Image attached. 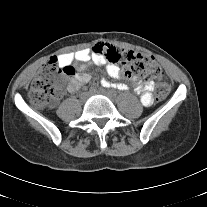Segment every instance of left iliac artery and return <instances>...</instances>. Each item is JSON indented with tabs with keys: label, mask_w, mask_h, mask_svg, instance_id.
Wrapping results in <instances>:
<instances>
[{
	"label": "left iliac artery",
	"mask_w": 207,
	"mask_h": 207,
	"mask_svg": "<svg viewBox=\"0 0 207 207\" xmlns=\"http://www.w3.org/2000/svg\"><path fill=\"white\" fill-rule=\"evenodd\" d=\"M115 87H117L119 90H127L128 89V86L126 84H118V85H115Z\"/></svg>",
	"instance_id": "1"
}]
</instances>
